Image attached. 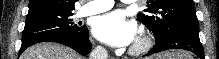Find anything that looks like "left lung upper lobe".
<instances>
[{
	"label": "left lung upper lobe",
	"instance_id": "left-lung-upper-lobe-1",
	"mask_svg": "<svg viewBox=\"0 0 219 59\" xmlns=\"http://www.w3.org/2000/svg\"><path fill=\"white\" fill-rule=\"evenodd\" d=\"M147 4L146 13H139L137 19L153 32L155 38L168 35L183 23L198 22L193 0H150Z\"/></svg>",
	"mask_w": 219,
	"mask_h": 59
}]
</instances>
